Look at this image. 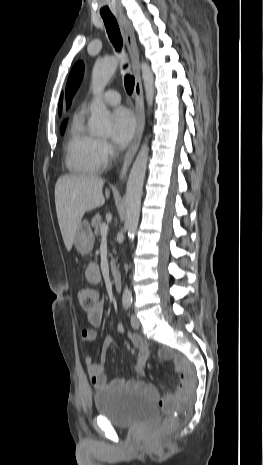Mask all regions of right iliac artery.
<instances>
[{
	"mask_svg": "<svg viewBox=\"0 0 263 465\" xmlns=\"http://www.w3.org/2000/svg\"><path fill=\"white\" fill-rule=\"evenodd\" d=\"M130 305H131L130 302H124L125 309H128L130 307Z\"/></svg>",
	"mask_w": 263,
	"mask_h": 465,
	"instance_id": "right-iliac-artery-1",
	"label": "right iliac artery"
}]
</instances>
